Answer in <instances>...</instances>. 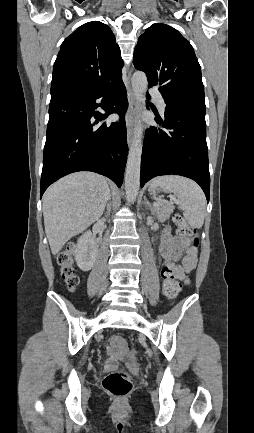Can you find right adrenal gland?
Returning a JSON list of instances; mask_svg holds the SVG:
<instances>
[{
	"label": "right adrenal gland",
	"instance_id": "right-adrenal-gland-1",
	"mask_svg": "<svg viewBox=\"0 0 254 433\" xmlns=\"http://www.w3.org/2000/svg\"><path fill=\"white\" fill-rule=\"evenodd\" d=\"M110 210H111V207L109 206L108 211H107V214L110 212Z\"/></svg>",
	"mask_w": 254,
	"mask_h": 433
}]
</instances>
